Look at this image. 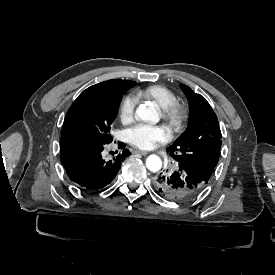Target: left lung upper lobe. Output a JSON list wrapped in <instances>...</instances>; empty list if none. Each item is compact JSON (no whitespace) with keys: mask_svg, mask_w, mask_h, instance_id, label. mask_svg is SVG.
I'll list each match as a JSON object with an SVG mask.
<instances>
[{"mask_svg":"<svg viewBox=\"0 0 275 275\" xmlns=\"http://www.w3.org/2000/svg\"><path fill=\"white\" fill-rule=\"evenodd\" d=\"M190 108L188 127L167 148L179 166L208 182L219 159L221 131L215 112L200 94L180 84Z\"/></svg>","mask_w":275,"mask_h":275,"instance_id":"1","label":"left lung upper lobe"}]
</instances>
